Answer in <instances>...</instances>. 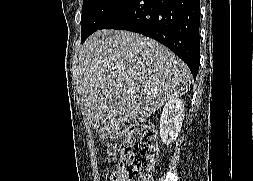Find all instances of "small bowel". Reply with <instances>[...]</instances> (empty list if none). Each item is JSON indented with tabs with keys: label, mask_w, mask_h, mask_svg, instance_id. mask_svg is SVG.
I'll return each mask as SVG.
<instances>
[{
	"label": "small bowel",
	"mask_w": 253,
	"mask_h": 181,
	"mask_svg": "<svg viewBox=\"0 0 253 181\" xmlns=\"http://www.w3.org/2000/svg\"><path fill=\"white\" fill-rule=\"evenodd\" d=\"M113 150H109V152L111 153Z\"/></svg>",
	"instance_id": "small-bowel-1"
}]
</instances>
